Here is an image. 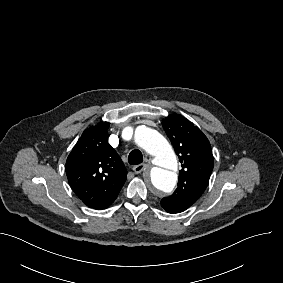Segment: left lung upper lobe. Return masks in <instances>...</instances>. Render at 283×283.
I'll list each match as a JSON object with an SVG mask.
<instances>
[{"instance_id":"1","label":"left lung upper lobe","mask_w":283,"mask_h":283,"mask_svg":"<svg viewBox=\"0 0 283 283\" xmlns=\"http://www.w3.org/2000/svg\"><path fill=\"white\" fill-rule=\"evenodd\" d=\"M162 126L181 162L178 187L161 200L172 210L183 212L204 193L213 170V155L207 137L185 117L173 114L163 119Z\"/></svg>"}]
</instances>
